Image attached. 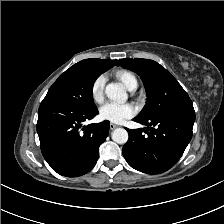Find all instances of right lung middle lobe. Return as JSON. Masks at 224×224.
I'll return each mask as SVG.
<instances>
[{
  "mask_svg": "<svg viewBox=\"0 0 224 224\" xmlns=\"http://www.w3.org/2000/svg\"><path fill=\"white\" fill-rule=\"evenodd\" d=\"M102 73L103 70L82 60L59 76L44 99L55 100L79 110H95L93 84Z\"/></svg>",
  "mask_w": 224,
  "mask_h": 224,
  "instance_id": "dd1d6c3e",
  "label": "right lung middle lobe"
}]
</instances>
